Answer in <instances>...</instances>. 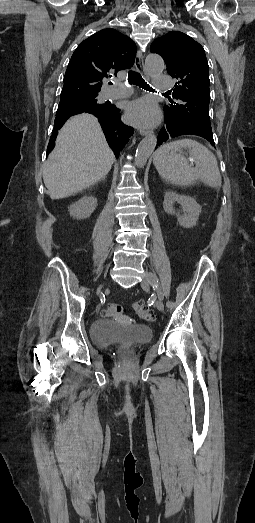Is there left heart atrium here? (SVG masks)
<instances>
[{"label": "left heart atrium", "instance_id": "left-heart-atrium-1", "mask_svg": "<svg viewBox=\"0 0 255 523\" xmlns=\"http://www.w3.org/2000/svg\"><path fill=\"white\" fill-rule=\"evenodd\" d=\"M127 118L136 124L151 125L160 118L157 104L150 98H141L126 105Z\"/></svg>", "mask_w": 255, "mask_h": 523}]
</instances>
